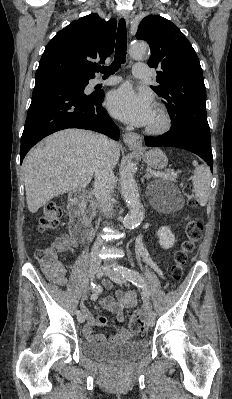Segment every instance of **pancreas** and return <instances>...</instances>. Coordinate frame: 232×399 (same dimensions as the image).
Listing matches in <instances>:
<instances>
[{
	"label": "pancreas",
	"instance_id": "obj_1",
	"mask_svg": "<svg viewBox=\"0 0 232 399\" xmlns=\"http://www.w3.org/2000/svg\"><path fill=\"white\" fill-rule=\"evenodd\" d=\"M157 178H164V180H169V182H177V174H174V172H171V170H166V172H163L162 176H157ZM90 201L89 205V215L90 217H94L96 211V203L93 200H88Z\"/></svg>",
	"mask_w": 232,
	"mask_h": 399
}]
</instances>
